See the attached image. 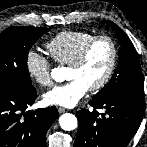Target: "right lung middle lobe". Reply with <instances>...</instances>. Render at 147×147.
Segmentation results:
<instances>
[{"mask_svg":"<svg viewBox=\"0 0 147 147\" xmlns=\"http://www.w3.org/2000/svg\"><path fill=\"white\" fill-rule=\"evenodd\" d=\"M50 28L10 27L0 33V90L11 92L33 89L27 67L33 43Z\"/></svg>","mask_w":147,"mask_h":147,"instance_id":"1","label":"right lung middle lobe"}]
</instances>
